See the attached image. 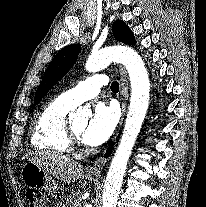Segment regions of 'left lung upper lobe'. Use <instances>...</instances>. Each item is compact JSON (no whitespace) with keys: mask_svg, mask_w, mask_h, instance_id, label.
I'll list each match as a JSON object with an SVG mask.
<instances>
[{"mask_svg":"<svg viewBox=\"0 0 206 207\" xmlns=\"http://www.w3.org/2000/svg\"><path fill=\"white\" fill-rule=\"evenodd\" d=\"M114 37L126 44H135V39L131 30L122 20H117L113 25ZM81 46L73 44L62 48L50 62L44 77L35 94V105L40 102L42 97L56 84L73 66L79 55Z\"/></svg>","mask_w":206,"mask_h":207,"instance_id":"5c2ea615","label":"left lung upper lobe"}]
</instances>
